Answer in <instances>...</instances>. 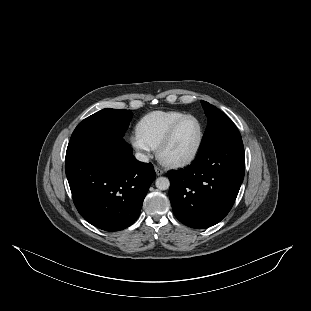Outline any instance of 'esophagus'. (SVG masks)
I'll return each mask as SVG.
<instances>
[{"label":"esophagus","instance_id":"obj_1","mask_svg":"<svg viewBox=\"0 0 311 311\" xmlns=\"http://www.w3.org/2000/svg\"><path fill=\"white\" fill-rule=\"evenodd\" d=\"M154 170H155L157 176H160V175H162L164 173L163 169H161L158 166H154Z\"/></svg>","mask_w":311,"mask_h":311}]
</instances>
